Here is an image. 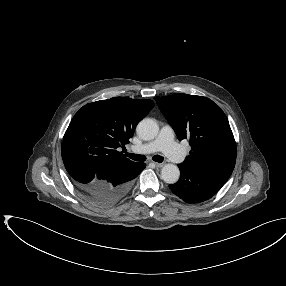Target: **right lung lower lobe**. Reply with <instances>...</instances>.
Instances as JSON below:
<instances>
[{"label": "right lung lower lobe", "mask_w": 286, "mask_h": 286, "mask_svg": "<svg viewBox=\"0 0 286 286\" xmlns=\"http://www.w3.org/2000/svg\"><path fill=\"white\" fill-rule=\"evenodd\" d=\"M61 152L65 168L78 191L89 201L103 206L123 198L130 190L132 180L146 167L144 163L134 162L105 174L78 146L63 145Z\"/></svg>", "instance_id": "obj_1"}]
</instances>
